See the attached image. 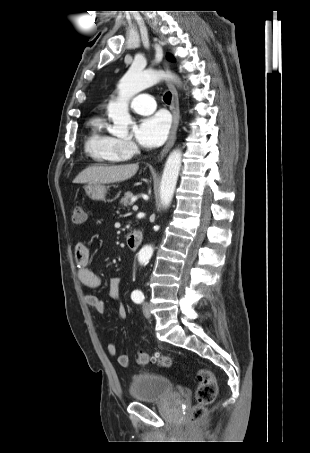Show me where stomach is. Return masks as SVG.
Segmentation results:
<instances>
[{
	"mask_svg": "<svg viewBox=\"0 0 310 453\" xmlns=\"http://www.w3.org/2000/svg\"><path fill=\"white\" fill-rule=\"evenodd\" d=\"M85 191L92 200H102L105 197L106 187L102 184H89Z\"/></svg>",
	"mask_w": 310,
	"mask_h": 453,
	"instance_id": "obj_1",
	"label": "stomach"
}]
</instances>
